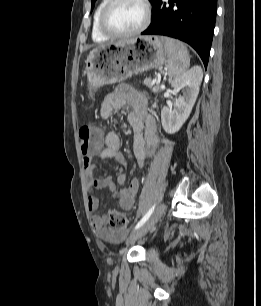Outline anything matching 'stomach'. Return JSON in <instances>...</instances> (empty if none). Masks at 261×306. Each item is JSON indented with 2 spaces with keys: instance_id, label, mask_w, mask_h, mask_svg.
<instances>
[{
  "instance_id": "stomach-1",
  "label": "stomach",
  "mask_w": 261,
  "mask_h": 306,
  "mask_svg": "<svg viewBox=\"0 0 261 306\" xmlns=\"http://www.w3.org/2000/svg\"><path fill=\"white\" fill-rule=\"evenodd\" d=\"M166 57L163 42L154 35L137 36L97 47L89 53L85 62L90 95L103 85L160 68L166 62Z\"/></svg>"
}]
</instances>
